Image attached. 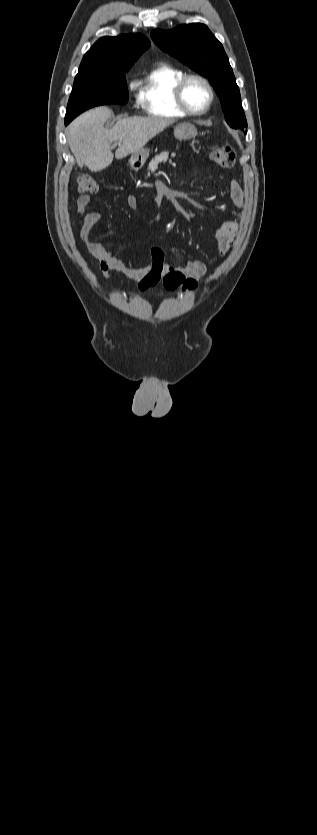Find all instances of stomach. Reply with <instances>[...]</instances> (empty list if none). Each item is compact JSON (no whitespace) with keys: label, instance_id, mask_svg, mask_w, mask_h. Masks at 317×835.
<instances>
[{"label":"stomach","instance_id":"stomach-1","mask_svg":"<svg viewBox=\"0 0 317 835\" xmlns=\"http://www.w3.org/2000/svg\"><path fill=\"white\" fill-rule=\"evenodd\" d=\"M197 129L193 124L190 123H180L174 128V136L183 141L192 140L197 136ZM150 150L148 148H142L136 154H133L130 158V163L135 165H143L149 157Z\"/></svg>","mask_w":317,"mask_h":835}]
</instances>
